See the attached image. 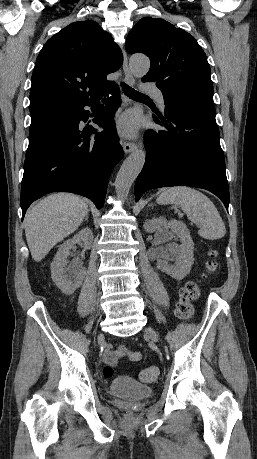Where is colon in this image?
Here are the masks:
<instances>
[{
  "label": "colon",
  "instance_id": "5ec220e1",
  "mask_svg": "<svg viewBox=\"0 0 257 459\" xmlns=\"http://www.w3.org/2000/svg\"><path fill=\"white\" fill-rule=\"evenodd\" d=\"M210 260L207 263V272L214 273L218 269L217 252L212 250L210 252ZM200 294V284L196 281L188 282L179 292V300L176 305L175 313L177 317L183 320H189L193 317L194 307L193 301L197 299ZM159 374L156 367H148L143 369L139 377L144 382H153ZM114 375V369L111 365H106L103 368V376L111 378Z\"/></svg>",
  "mask_w": 257,
  "mask_h": 459
}]
</instances>
